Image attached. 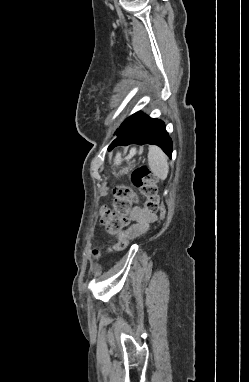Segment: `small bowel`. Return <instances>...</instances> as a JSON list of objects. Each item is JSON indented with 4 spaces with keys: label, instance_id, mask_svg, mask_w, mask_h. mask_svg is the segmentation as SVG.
Returning <instances> with one entry per match:
<instances>
[{
    "label": "small bowel",
    "instance_id": "c3829d8e",
    "mask_svg": "<svg viewBox=\"0 0 249 382\" xmlns=\"http://www.w3.org/2000/svg\"><path fill=\"white\" fill-rule=\"evenodd\" d=\"M129 216L131 220L135 221V224L129 229V234L132 237H138L144 233V231L147 229V222L153 220V217L148 214L145 209L140 207L133 208L130 211ZM103 224L106 226L109 234L116 235V232H113L108 228L107 223L103 221Z\"/></svg>",
    "mask_w": 249,
    "mask_h": 382
}]
</instances>
